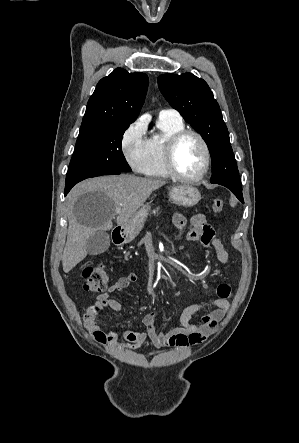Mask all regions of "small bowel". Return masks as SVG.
Here are the masks:
<instances>
[{
  "label": "small bowel",
  "mask_w": 299,
  "mask_h": 443,
  "mask_svg": "<svg viewBox=\"0 0 299 443\" xmlns=\"http://www.w3.org/2000/svg\"><path fill=\"white\" fill-rule=\"evenodd\" d=\"M174 226L178 230L184 229L187 218L181 213H175L172 218ZM191 229L187 232L185 240L187 242L200 241L205 247L215 252L217 260L226 265L229 263V253L223 243L216 237L213 227L207 222L206 216L196 214L189 221ZM137 276L131 273L120 277L111 284L107 290L100 294L95 305L88 309L83 316L84 325L102 343H105L115 350H135L140 348L146 341H150L155 347H183L188 348L198 345L207 339L217 330L219 322L223 319L230 308L229 298L232 288L228 283L222 282L217 286V297L203 302L192 303L186 306L180 314V326L168 332H160L157 329L155 318L156 313L150 312L144 315L143 324L145 332H136L124 329L104 331L96 322V318L105 307L121 313L122 304L110 297L111 293L122 291L135 283ZM210 311L202 316L201 322H193L192 318L202 310ZM122 337L123 341L119 338Z\"/></svg>",
  "instance_id": "1"
}]
</instances>
